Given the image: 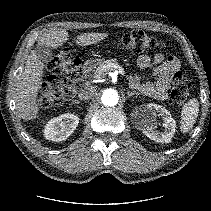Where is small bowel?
Listing matches in <instances>:
<instances>
[{
  "label": "small bowel",
  "mask_w": 211,
  "mask_h": 211,
  "mask_svg": "<svg viewBox=\"0 0 211 211\" xmlns=\"http://www.w3.org/2000/svg\"><path fill=\"white\" fill-rule=\"evenodd\" d=\"M140 69H151L154 80L143 81L138 74L131 76V85L145 96L164 100L170 87L171 75L180 68L179 60L161 53L153 56L142 55L137 60Z\"/></svg>",
  "instance_id": "small-bowel-1"
}]
</instances>
